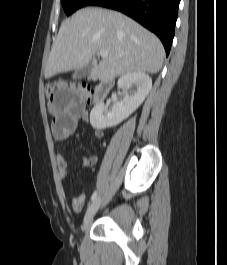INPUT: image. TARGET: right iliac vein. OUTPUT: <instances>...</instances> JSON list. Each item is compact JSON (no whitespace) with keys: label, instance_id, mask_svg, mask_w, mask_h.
Returning a JSON list of instances; mask_svg holds the SVG:
<instances>
[{"label":"right iliac vein","instance_id":"63e3f726","mask_svg":"<svg viewBox=\"0 0 227 265\" xmlns=\"http://www.w3.org/2000/svg\"><path fill=\"white\" fill-rule=\"evenodd\" d=\"M100 204H101V198L100 197L96 198L90 204V206L88 207L86 214L84 216V220H83L84 225L88 224L92 220V218L94 217V215L98 211Z\"/></svg>","mask_w":227,"mask_h":265}]
</instances>
